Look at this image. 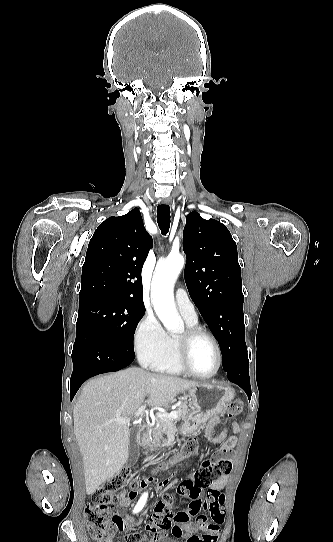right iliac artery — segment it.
I'll return each instance as SVG.
<instances>
[{
    "mask_svg": "<svg viewBox=\"0 0 333 542\" xmlns=\"http://www.w3.org/2000/svg\"><path fill=\"white\" fill-rule=\"evenodd\" d=\"M147 497H148V493H144L141 498L139 499L137 505L135 506L133 512L136 513V512H139L145 505L146 501H147Z\"/></svg>",
    "mask_w": 333,
    "mask_h": 542,
    "instance_id": "1",
    "label": "right iliac artery"
}]
</instances>
